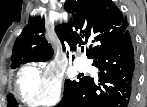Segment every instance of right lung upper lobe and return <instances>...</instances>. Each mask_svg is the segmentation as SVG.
<instances>
[{
	"label": "right lung upper lobe",
	"mask_w": 147,
	"mask_h": 107,
	"mask_svg": "<svg viewBox=\"0 0 147 107\" xmlns=\"http://www.w3.org/2000/svg\"><path fill=\"white\" fill-rule=\"evenodd\" d=\"M65 9L76 14L72 21L55 28L63 49L73 51L91 42L87 51L89 59L94 60L113 45L128 27L127 19L112 0H66ZM44 29V20H29L15 41L11 66L31 59L40 62L52 58V46L44 37Z\"/></svg>",
	"instance_id": "obj_1"
}]
</instances>
